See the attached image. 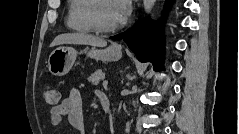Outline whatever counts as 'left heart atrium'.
I'll list each match as a JSON object with an SVG mask.
<instances>
[{"label": "left heart atrium", "mask_w": 239, "mask_h": 134, "mask_svg": "<svg viewBox=\"0 0 239 134\" xmlns=\"http://www.w3.org/2000/svg\"><path fill=\"white\" fill-rule=\"evenodd\" d=\"M112 12L117 24L125 21L131 12L130 1L128 0H114L111 2Z\"/></svg>", "instance_id": "39dd6f15"}]
</instances>
